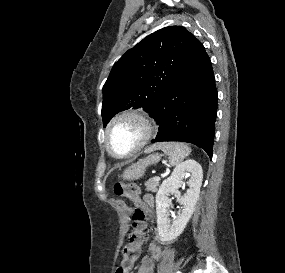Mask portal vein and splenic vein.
Listing matches in <instances>:
<instances>
[{
  "mask_svg": "<svg viewBox=\"0 0 285 273\" xmlns=\"http://www.w3.org/2000/svg\"><path fill=\"white\" fill-rule=\"evenodd\" d=\"M154 179L155 180H159L160 178H159V176H155Z\"/></svg>",
  "mask_w": 285,
  "mask_h": 273,
  "instance_id": "18ae733b",
  "label": "portal vein and splenic vein"
}]
</instances>
